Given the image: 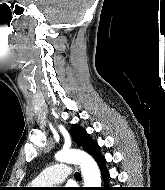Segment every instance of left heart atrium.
Wrapping results in <instances>:
<instances>
[{
  "instance_id": "obj_1",
  "label": "left heart atrium",
  "mask_w": 165,
  "mask_h": 190,
  "mask_svg": "<svg viewBox=\"0 0 165 190\" xmlns=\"http://www.w3.org/2000/svg\"><path fill=\"white\" fill-rule=\"evenodd\" d=\"M65 190H70V188H66Z\"/></svg>"
}]
</instances>
